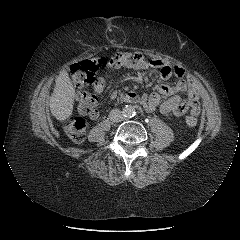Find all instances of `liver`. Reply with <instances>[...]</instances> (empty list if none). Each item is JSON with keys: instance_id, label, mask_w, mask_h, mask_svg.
<instances>
[{"instance_id": "1", "label": "liver", "mask_w": 240, "mask_h": 240, "mask_svg": "<svg viewBox=\"0 0 240 240\" xmlns=\"http://www.w3.org/2000/svg\"><path fill=\"white\" fill-rule=\"evenodd\" d=\"M55 88L50 98V110L59 121L68 119L73 112L75 89L66 71H62L55 80Z\"/></svg>"}]
</instances>
